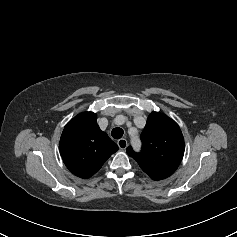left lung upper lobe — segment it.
I'll use <instances>...</instances> for the list:
<instances>
[{"label":"left lung upper lobe","mask_w":237,"mask_h":237,"mask_svg":"<svg viewBox=\"0 0 237 237\" xmlns=\"http://www.w3.org/2000/svg\"><path fill=\"white\" fill-rule=\"evenodd\" d=\"M142 151L127 149L141 169L153 180L164 179L175 172L184 154V138L178 124L159 112H152L141 135Z\"/></svg>","instance_id":"5c2ea615"}]
</instances>
